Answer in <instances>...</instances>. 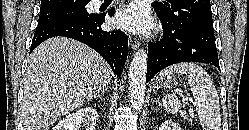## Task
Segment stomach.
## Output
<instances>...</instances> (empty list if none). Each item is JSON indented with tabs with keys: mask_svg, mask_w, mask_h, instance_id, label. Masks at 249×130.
I'll list each match as a JSON object with an SVG mask.
<instances>
[{
	"mask_svg": "<svg viewBox=\"0 0 249 130\" xmlns=\"http://www.w3.org/2000/svg\"><path fill=\"white\" fill-rule=\"evenodd\" d=\"M177 84L176 78L171 75L160 74L154 80V88L157 89H167L175 86Z\"/></svg>",
	"mask_w": 249,
	"mask_h": 130,
	"instance_id": "obj_1",
	"label": "stomach"
}]
</instances>
